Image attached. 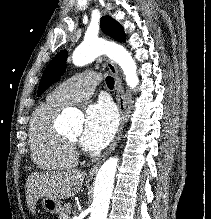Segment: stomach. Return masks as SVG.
Masks as SVG:
<instances>
[{
    "instance_id": "0dacf381",
    "label": "stomach",
    "mask_w": 211,
    "mask_h": 219,
    "mask_svg": "<svg viewBox=\"0 0 211 219\" xmlns=\"http://www.w3.org/2000/svg\"><path fill=\"white\" fill-rule=\"evenodd\" d=\"M42 207L51 214H57L61 211V201L49 197H41Z\"/></svg>"
}]
</instances>
